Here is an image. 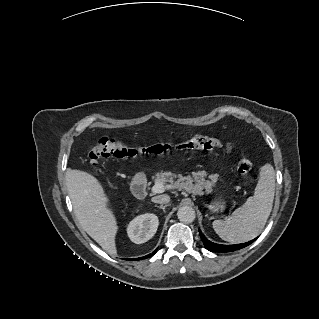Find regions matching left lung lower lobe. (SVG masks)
<instances>
[{
  "mask_svg": "<svg viewBox=\"0 0 319 319\" xmlns=\"http://www.w3.org/2000/svg\"><path fill=\"white\" fill-rule=\"evenodd\" d=\"M200 237L203 241V244L205 246V248L211 252H232V251H236L238 249H241L243 247H246L248 245H250L251 243H253L257 238L246 242V243H242V244H236V245H221V244H216L213 243L211 241H209L201 232H199Z\"/></svg>",
  "mask_w": 319,
  "mask_h": 319,
  "instance_id": "0a47b994",
  "label": "left lung lower lobe"
}]
</instances>
